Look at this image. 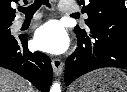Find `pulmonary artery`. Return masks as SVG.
Returning <instances> with one entry per match:
<instances>
[{
    "label": "pulmonary artery",
    "instance_id": "1",
    "mask_svg": "<svg viewBox=\"0 0 127 92\" xmlns=\"http://www.w3.org/2000/svg\"><path fill=\"white\" fill-rule=\"evenodd\" d=\"M59 9L62 13H72V12H76L78 10V7L71 4V3H68V2H64V1H61L59 3ZM39 18V15H35L34 16V19H38ZM24 23V20L23 19H19L16 21V26H21L22 24Z\"/></svg>",
    "mask_w": 127,
    "mask_h": 92
}]
</instances>
